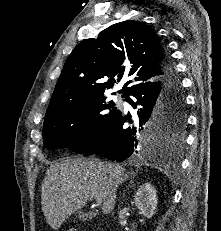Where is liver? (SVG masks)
I'll list each match as a JSON object with an SVG mask.
<instances>
[{"label": "liver", "mask_w": 221, "mask_h": 231, "mask_svg": "<svg viewBox=\"0 0 221 231\" xmlns=\"http://www.w3.org/2000/svg\"><path fill=\"white\" fill-rule=\"evenodd\" d=\"M128 178L122 166L97 159L64 158L52 164L41 190L42 211L48 224L57 230L92 198H101L103 213L110 214L116 190Z\"/></svg>", "instance_id": "1"}]
</instances>
